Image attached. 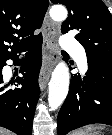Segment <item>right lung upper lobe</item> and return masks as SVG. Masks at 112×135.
<instances>
[{
    "label": "right lung upper lobe",
    "instance_id": "right-lung-upper-lobe-1",
    "mask_svg": "<svg viewBox=\"0 0 112 135\" xmlns=\"http://www.w3.org/2000/svg\"><path fill=\"white\" fill-rule=\"evenodd\" d=\"M48 0H0V62L16 54L42 34Z\"/></svg>",
    "mask_w": 112,
    "mask_h": 135
}]
</instances>
